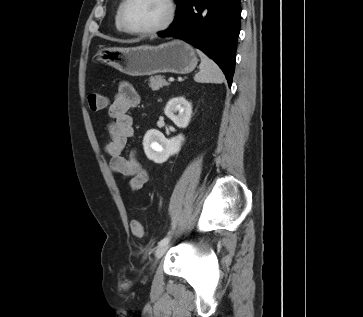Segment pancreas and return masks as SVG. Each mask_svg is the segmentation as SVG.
<instances>
[{
	"mask_svg": "<svg viewBox=\"0 0 363 317\" xmlns=\"http://www.w3.org/2000/svg\"><path fill=\"white\" fill-rule=\"evenodd\" d=\"M149 82H150L149 87L153 91H157L160 88L169 85V83L164 79V77L160 75L150 77Z\"/></svg>",
	"mask_w": 363,
	"mask_h": 317,
	"instance_id": "obj_1",
	"label": "pancreas"
}]
</instances>
